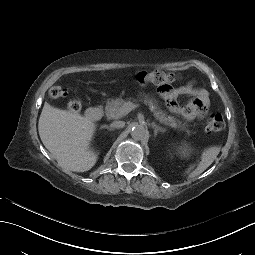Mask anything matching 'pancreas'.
I'll return each mask as SVG.
<instances>
[{"instance_id":"1","label":"pancreas","mask_w":255,"mask_h":255,"mask_svg":"<svg viewBox=\"0 0 255 255\" xmlns=\"http://www.w3.org/2000/svg\"><path fill=\"white\" fill-rule=\"evenodd\" d=\"M145 104H148L150 107V110L154 113V116L157 120H159L161 123L165 125H169L171 127H177L178 124L175 120L174 117L166 115L161 109L157 108L152 101L150 100H144ZM125 104V101L121 98L118 99H111L108 100L105 111H106V116L109 119H119L126 115L123 112V105Z\"/></svg>"}]
</instances>
